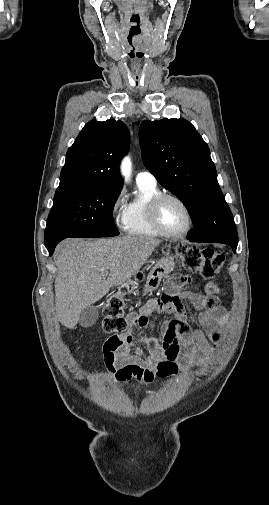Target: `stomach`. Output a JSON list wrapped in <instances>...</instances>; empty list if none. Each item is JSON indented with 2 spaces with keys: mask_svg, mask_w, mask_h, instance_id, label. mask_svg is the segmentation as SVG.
Here are the masks:
<instances>
[{
  "mask_svg": "<svg viewBox=\"0 0 269 505\" xmlns=\"http://www.w3.org/2000/svg\"><path fill=\"white\" fill-rule=\"evenodd\" d=\"M175 267L174 257L169 256L160 259L150 270L145 284V292H151L159 288L161 281Z\"/></svg>",
  "mask_w": 269,
  "mask_h": 505,
  "instance_id": "stomach-1",
  "label": "stomach"
}]
</instances>
